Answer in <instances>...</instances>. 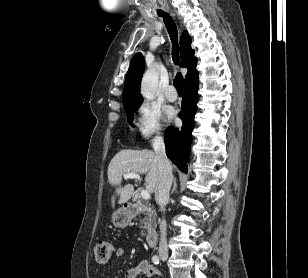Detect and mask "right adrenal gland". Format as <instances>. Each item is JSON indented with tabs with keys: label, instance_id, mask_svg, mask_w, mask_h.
I'll use <instances>...</instances> for the list:
<instances>
[{
	"label": "right adrenal gland",
	"instance_id": "right-adrenal-gland-1",
	"mask_svg": "<svg viewBox=\"0 0 308 278\" xmlns=\"http://www.w3.org/2000/svg\"><path fill=\"white\" fill-rule=\"evenodd\" d=\"M176 188H177V183H176V178H175V179H174V182H173V188H172V190H171V194L174 193V191L176 190Z\"/></svg>",
	"mask_w": 308,
	"mask_h": 278
}]
</instances>
